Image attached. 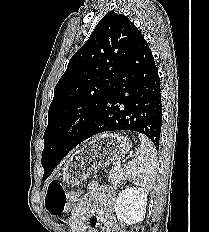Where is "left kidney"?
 I'll list each match as a JSON object with an SVG mask.
<instances>
[{
  "label": "left kidney",
  "mask_w": 209,
  "mask_h": 232,
  "mask_svg": "<svg viewBox=\"0 0 209 232\" xmlns=\"http://www.w3.org/2000/svg\"><path fill=\"white\" fill-rule=\"evenodd\" d=\"M147 190L140 187H128L119 193L115 203L118 221L133 225L143 221L146 213Z\"/></svg>",
  "instance_id": "left-kidney-1"
}]
</instances>
